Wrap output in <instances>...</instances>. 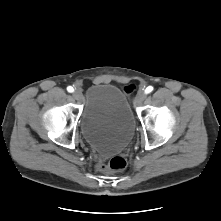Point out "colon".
I'll use <instances>...</instances> for the list:
<instances>
[{
  "label": "colon",
  "mask_w": 221,
  "mask_h": 221,
  "mask_svg": "<svg viewBox=\"0 0 221 221\" xmlns=\"http://www.w3.org/2000/svg\"><path fill=\"white\" fill-rule=\"evenodd\" d=\"M135 87L132 84L126 85L124 87V92L126 94H131L134 91ZM127 161L122 156H114L112 157L107 164H99V170L103 172L107 171H122L126 168Z\"/></svg>",
  "instance_id": "1"
}]
</instances>
